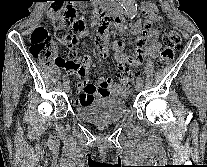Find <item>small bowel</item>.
<instances>
[{
	"label": "small bowel",
	"mask_w": 207,
	"mask_h": 167,
	"mask_svg": "<svg viewBox=\"0 0 207 167\" xmlns=\"http://www.w3.org/2000/svg\"><path fill=\"white\" fill-rule=\"evenodd\" d=\"M143 21H138L132 27L131 32L136 37V42L131 55H127L122 50V44L115 42L112 46L116 61L120 68H136L142 64L146 58H155L158 56L160 43V28L154 23L160 22L156 9L152 3L143 5L142 7ZM114 22L103 23L96 37V46L101 58L107 60L109 57L108 29ZM87 31L80 30L79 36H86ZM77 42V38L74 43ZM66 74H77L81 80L77 86V98L74 99L75 104L88 103L96 98L105 96H126L129 90L116 84L112 77H101L99 84L89 83L87 80V69L84 66L70 67L65 64Z\"/></svg>",
	"instance_id": "c3829d8e"
}]
</instances>
